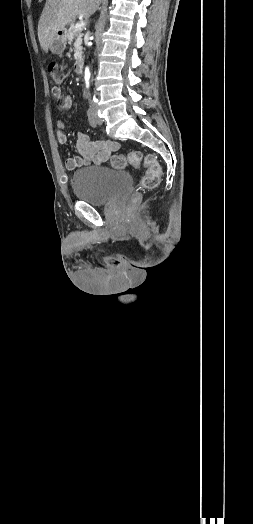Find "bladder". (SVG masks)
<instances>
[{
	"instance_id": "31cf9c89",
	"label": "bladder",
	"mask_w": 253,
	"mask_h": 524,
	"mask_svg": "<svg viewBox=\"0 0 253 524\" xmlns=\"http://www.w3.org/2000/svg\"><path fill=\"white\" fill-rule=\"evenodd\" d=\"M72 189L78 200L92 206H103L118 198L131 185L125 171H113L104 166H89L74 172Z\"/></svg>"
}]
</instances>
